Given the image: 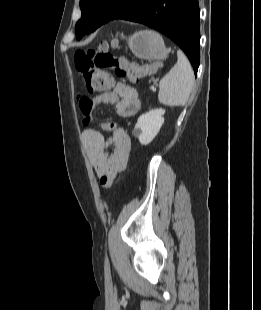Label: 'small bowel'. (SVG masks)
I'll return each mask as SVG.
<instances>
[{
    "label": "small bowel",
    "instance_id": "c3829d8e",
    "mask_svg": "<svg viewBox=\"0 0 261 310\" xmlns=\"http://www.w3.org/2000/svg\"><path fill=\"white\" fill-rule=\"evenodd\" d=\"M99 104L115 105L117 113L124 118L134 116L140 109L141 100L139 91L123 82L113 85L112 90L103 92L95 97L81 96L79 109L84 117V124L92 121L93 108ZM108 132L106 137L103 133ZM83 141L87 147L89 160L100 179V182L109 187L113 184L117 174L122 172L128 160L131 149V140L127 132L115 123L100 124V130L88 128L83 132ZM110 144L115 145L113 153L107 152Z\"/></svg>",
    "mask_w": 261,
    "mask_h": 310
}]
</instances>
